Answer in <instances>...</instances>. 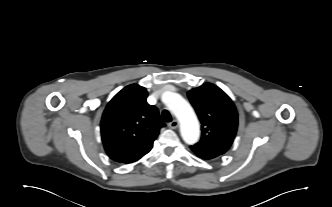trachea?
Listing matches in <instances>:
<instances>
[{
	"instance_id": "1",
	"label": "trachea",
	"mask_w": 332,
	"mask_h": 207,
	"mask_svg": "<svg viewBox=\"0 0 332 207\" xmlns=\"http://www.w3.org/2000/svg\"><path fill=\"white\" fill-rule=\"evenodd\" d=\"M162 117H163V120L165 122H171L172 121L171 114L168 110H163L162 111Z\"/></svg>"
}]
</instances>
